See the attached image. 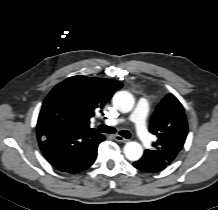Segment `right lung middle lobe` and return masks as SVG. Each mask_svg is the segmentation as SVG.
<instances>
[{
    "label": "right lung middle lobe",
    "mask_w": 218,
    "mask_h": 210,
    "mask_svg": "<svg viewBox=\"0 0 218 210\" xmlns=\"http://www.w3.org/2000/svg\"><path fill=\"white\" fill-rule=\"evenodd\" d=\"M37 126H56L73 129L70 111L60 102L46 98L39 114Z\"/></svg>",
    "instance_id": "1"
}]
</instances>
